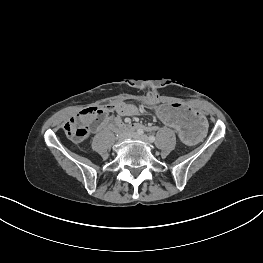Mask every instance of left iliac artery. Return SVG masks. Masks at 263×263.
Segmentation results:
<instances>
[{
    "mask_svg": "<svg viewBox=\"0 0 263 263\" xmlns=\"http://www.w3.org/2000/svg\"><path fill=\"white\" fill-rule=\"evenodd\" d=\"M149 141L150 142H154L155 141V137L153 135L149 136Z\"/></svg>",
    "mask_w": 263,
    "mask_h": 263,
    "instance_id": "obj_1",
    "label": "left iliac artery"
}]
</instances>
